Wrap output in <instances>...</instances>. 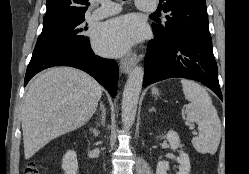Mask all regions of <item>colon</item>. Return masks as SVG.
I'll use <instances>...</instances> for the list:
<instances>
[{
	"label": "colon",
	"instance_id": "colon-1",
	"mask_svg": "<svg viewBox=\"0 0 249 174\" xmlns=\"http://www.w3.org/2000/svg\"><path fill=\"white\" fill-rule=\"evenodd\" d=\"M24 174H41V172L35 162H30L26 165Z\"/></svg>",
	"mask_w": 249,
	"mask_h": 174
}]
</instances>
